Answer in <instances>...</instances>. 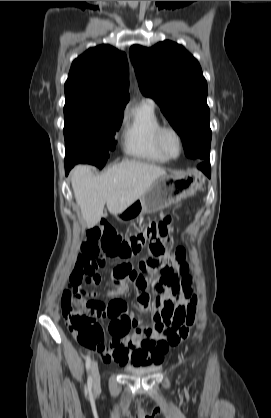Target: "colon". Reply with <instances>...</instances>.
I'll return each mask as SVG.
<instances>
[{"label":"colon","mask_w":271,"mask_h":418,"mask_svg":"<svg viewBox=\"0 0 271 418\" xmlns=\"http://www.w3.org/2000/svg\"><path fill=\"white\" fill-rule=\"evenodd\" d=\"M169 223L170 218L165 216L160 220L151 221L138 232L127 237L120 235L107 221H102L88 230L70 275V285L61 297V310L65 324L80 345L95 351L106 346L104 330L97 321L98 314H91L90 308L88 312H85L80 305L81 300L84 299L82 282L95 284L97 266L104 267L105 265V260L100 256L101 252L111 258L130 259L153 241L163 242L168 249ZM184 256L183 249L176 251L177 262H183ZM180 271L186 274L188 267L182 264ZM195 317V297L191 298L185 308L164 309L162 312L164 325L159 329L163 335V341L158 347L160 349L175 347L186 340L194 325Z\"/></svg>","instance_id":"obj_1"}]
</instances>
